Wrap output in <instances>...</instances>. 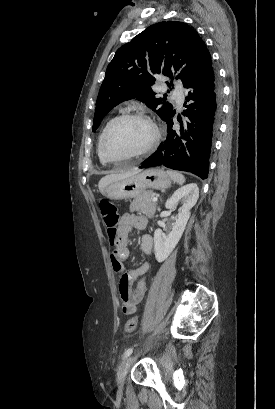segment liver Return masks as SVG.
I'll return each mask as SVG.
<instances>
[{
	"label": "liver",
	"instance_id": "liver-1",
	"mask_svg": "<svg viewBox=\"0 0 275 409\" xmlns=\"http://www.w3.org/2000/svg\"><path fill=\"white\" fill-rule=\"evenodd\" d=\"M140 172L139 168H133V170H128V172H119V174H107L100 178L98 182L99 190L104 194L105 186L110 184V182H115V180H121V178H128V176H133V174H138Z\"/></svg>",
	"mask_w": 275,
	"mask_h": 409
}]
</instances>
